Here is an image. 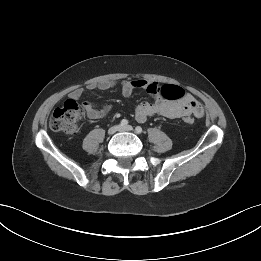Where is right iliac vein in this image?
Segmentation results:
<instances>
[{
  "mask_svg": "<svg viewBox=\"0 0 261 261\" xmlns=\"http://www.w3.org/2000/svg\"><path fill=\"white\" fill-rule=\"evenodd\" d=\"M120 128H121V127H120L119 125L112 126V127L109 128L108 134H109V135H113V134H115L117 131H120Z\"/></svg>",
  "mask_w": 261,
  "mask_h": 261,
  "instance_id": "1",
  "label": "right iliac vein"
}]
</instances>
